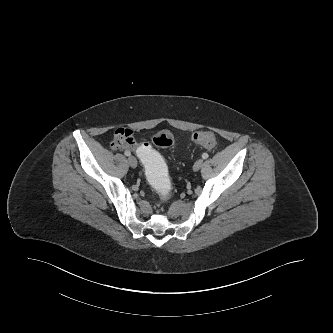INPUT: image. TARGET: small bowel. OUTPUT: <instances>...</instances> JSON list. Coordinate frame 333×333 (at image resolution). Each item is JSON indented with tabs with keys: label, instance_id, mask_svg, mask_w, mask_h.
Here are the masks:
<instances>
[{
	"label": "small bowel",
	"instance_id": "1",
	"mask_svg": "<svg viewBox=\"0 0 333 333\" xmlns=\"http://www.w3.org/2000/svg\"><path fill=\"white\" fill-rule=\"evenodd\" d=\"M112 144L115 150L121 153H126L129 151H136L138 145L136 144V135L126 128L116 129L112 133ZM137 153V151H136Z\"/></svg>",
	"mask_w": 333,
	"mask_h": 333
}]
</instances>
